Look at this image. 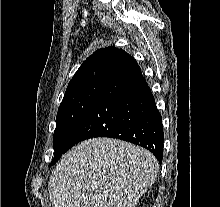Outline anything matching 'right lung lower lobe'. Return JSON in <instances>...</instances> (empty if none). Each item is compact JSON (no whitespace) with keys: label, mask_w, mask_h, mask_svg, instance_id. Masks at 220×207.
<instances>
[{"label":"right lung lower lobe","mask_w":220,"mask_h":207,"mask_svg":"<svg viewBox=\"0 0 220 207\" xmlns=\"http://www.w3.org/2000/svg\"><path fill=\"white\" fill-rule=\"evenodd\" d=\"M93 137H112L134 143L148 149L159 162L162 161V117L137 63L104 81L71 136L68 149Z\"/></svg>","instance_id":"right-lung-lower-lobe-1"}]
</instances>
